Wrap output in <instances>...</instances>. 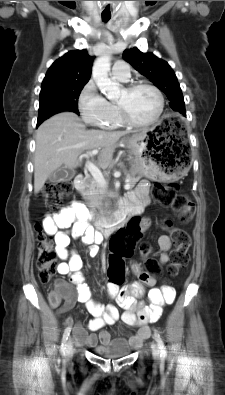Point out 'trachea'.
Listing matches in <instances>:
<instances>
[{"label": "trachea", "mask_w": 225, "mask_h": 395, "mask_svg": "<svg viewBox=\"0 0 225 395\" xmlns=\"http://www.w3.org/2000/svg\"><path fill=\"white\" fill-rule=\"evenodd\" d=\"M110 18H111V15H104V14H102V20L104 22H108L110 20Z\"/></svg>", "instance_id": "trachea-1"}]
</instances>
